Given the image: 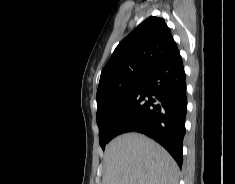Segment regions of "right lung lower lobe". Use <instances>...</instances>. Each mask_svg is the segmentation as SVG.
Here are the masks:
<instances>
[{
  "label": "right lung lower lobe",
  "instance_id": "1",
  "mask_svg": "<svg viewBox=\"0 0 235 184\" xmlns=\"http://www.w3.org/2000/svg\"><path fill=\"white\" fill-rule=\"evenodd\" d=\"M179 50L143 79L114 126V133L140 132L160 143L181 167L187 107Z\"/></svg>",
  "mask_w": 235,
  "mask_h": 184
}]
</instances>
